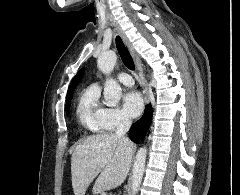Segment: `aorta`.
<instances>
[{"mask_svg":"<svg viewBox=\"0 0 240 195\" xmlns=\"http://www.w3.org/2000/svg\"><path fill=\"white\" fill-rule=\"evenodd\" d=\"M116 60L117 56L115 52H103V54H100L97 60V66L100 72H102V74H106V76H108V74H111V72L114 70V66H116ZM103 96L108 105H117L118 101H120L122 90L118 82H115L113 78H107L104 86ZM146 153L147 149H145V147H140L136 153V159L134 161L132 169L133 193H137L143 179L146 163Z\"/></svg>","mask_w":240,"mask_h":195,"instance_id":"obj_1","label":"aorta"}]
</instances>
